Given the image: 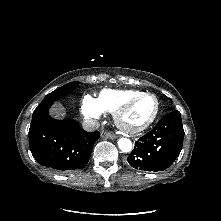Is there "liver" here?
I'll return each mask as SVG.
<instances>
[{
    "label": "liver",
    "instance_id": "1",
    "mask_svg": "<svg viewBox=\"0 0 221 221\" xmlns=\"http://www.w3.org/2000/svg\"><path fill=\"white\" fill-rule=\"evenodd\" d=\"M52 114H54L56 117H58V116L64 117L65 111H64L63 107H61L60 105H56L52 109Z\"/></svg>",
    "mask_w": 221,
    "mask_h": 221
}]
</instances>
